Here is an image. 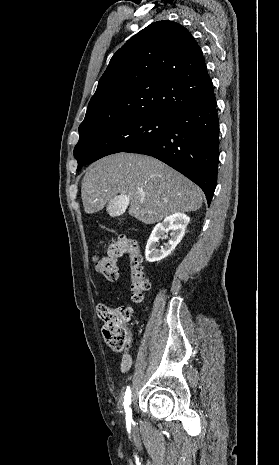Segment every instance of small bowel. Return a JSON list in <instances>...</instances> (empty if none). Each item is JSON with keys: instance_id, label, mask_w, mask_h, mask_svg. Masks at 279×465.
I'll return each instance as SVG.
<instances>
[{"instance_id": "small-bowel-1", "label": "small bowel", "mask_w": 279, "mask_h": 465, "mask_svg": "<svg viewBox=\"0 0 279 465\" xmlns=\"http://www.w3.org/2000/svg\"><path fill=\"white\" fill-rule=\"evenodd\" d=\"M132 366V357L129 354H123L121 359V370L126 373L131 369Z\"/></svg>"}]
</instances>
